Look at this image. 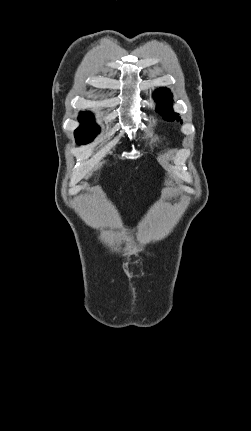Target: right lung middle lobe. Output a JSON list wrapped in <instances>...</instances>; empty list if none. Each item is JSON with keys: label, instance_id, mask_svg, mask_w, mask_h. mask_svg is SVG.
<instances>
[{"label": "right lung middle lobe", "instance_id": "dd1d6c3e", "mask_svg": "<svg viewBox=\"0 0 251 431\" xmlns=\"http://www.w3.org/2000/svg\"><path fill=\"white\" fill-rule=\"evenodd\" d=\"M81 126L74 132L77 144H87L91 142L96 134L99 133V127L94 123V117L91 113L83 112L79 115Z\"/></svg>", "mask_w": 251, "mask_h": 431}]
</instances>
